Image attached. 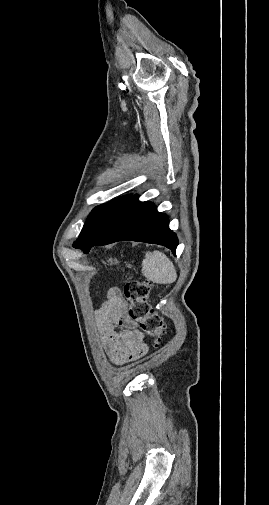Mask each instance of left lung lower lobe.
Listing matches in <instances>:
<instances>
[{
    "mask_svg": "<svg viewBox=\"0 0 269 505\" xmlns=\"http://www.w3.org/2000/svg\"><path fill=\"white\" fill-rule=\"evenodd\" d=\"M132 240L166 246L175 254L178 239L169 229L168 217L157 212L154 204L132 196L107 233L95 244L83 247L85 253L95 245Z\"/></svg>",
    "mask_w": 269,
    "mask_h": 505,
    "instance_id": "left-lung-lower-lobe-1",
    "label": "left lung lower lobe"
}]
</instances>
